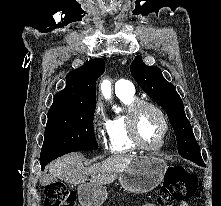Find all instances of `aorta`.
Instances as JSON below:
<instances>
[{"label":"aorta","mask_w":221,"mask_h":206,"mask_svg":"<svg viewBox=\"0 0 221 206\" xmlns=\"http://www.w3.org/2000/svg\"><path fill=\"white\" fill-rule=\"evenodd\" d=\"M111 82L107 79L103 80L101 83V92L105 99L109 100L111 98Z\"/></svg>","instance_id":"762f6f07"}]
</instances>
